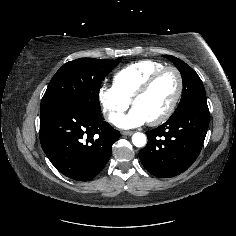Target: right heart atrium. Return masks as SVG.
Returning a JSON list of instances; mask_svg holds the SVG:
<instances>
[{
    "mask_svg": "<svg viewBox=\"0 0 236 236\" xmlns=\"http://www.w3.org/2000/svg\"><path fill=\"white\" fill-rule=\"evenodd\" d=\"M98 99L105 117L113 122L130 105V100L123 96L115 86L104 85L98 91Z\"/></svg>",
    "mask_w": 236,
    "mask_h": 236,
    "instance_id": "1",
    "label": "right heart atrium"
}]
</instances>
